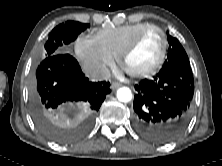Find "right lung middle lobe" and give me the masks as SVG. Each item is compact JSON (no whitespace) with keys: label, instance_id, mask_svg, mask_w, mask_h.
I'll return each instance as SVG.
<instances>
[{"label":"right lung middle lobe","instance_id":"1","mask_svg":"<svg viewBox=\"0 0 222 166\" xmlns=\"http://www.w3.org/2000/svg\"><path fill=\"white\" fill-rule=\"evenodd\" d=\"M89 24L79 23L76 21H67L66 23L59 24L50 33L48 40L44 46L46 51V57L60 53V47L65 46L73 42L77 36L87 29ZM33 118L38 129L49 138L59 141L66 142L60 138L62 131L54 125V119L47 117L42 113L33 114Z\"/></svg>","mask_w":222,"mask_h":166}]
</instances>
